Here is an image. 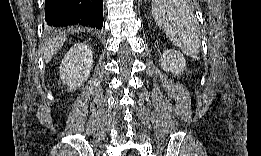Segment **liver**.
I'll list each match as a JSON object with an SVG mask.
<instances>
[{
	"instance_id": "6515ba94",
	"label": "liver",
	"mask_w": 261,
	"mask_h": 156,
	"mask_svg": "<svg viewBox=\"0 0 261 156\" xmlns=\"http://www.w3.org/2000/svg\"><path fill=\"white\" fill-rule=\"evenodd\" d=\"M65 39H66L65 35H60V36H58L56 38H52L46 42L45 47L43 49V58L45 60V63H48L51 61L53 55L63 45Z\"/></svg>"
}]
</instances>
